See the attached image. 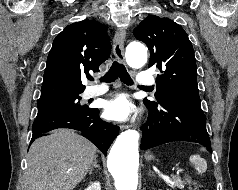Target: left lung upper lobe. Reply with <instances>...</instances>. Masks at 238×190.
<instances>
[{
    "label": "left lung upper lobe",
    "mask_w": 238,
    "mask_h": 190,
    "mask_svg": "<svg viewBox=\"0 0 238 190\" xmlns=\"http://www.w3.org/2000/svg\"><path fill=\"white\" fill-rule=\"evenodd\" d=\"M137 40L151 51L149 66H156L157 102L144 99L149 105H158L172 98H199L197 68L194 50L184 29L168 18L149 15L134 30Z\"/></svg>",
    "instance_id": "obj_1"
}]
</instances>
